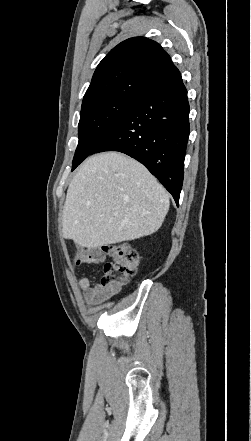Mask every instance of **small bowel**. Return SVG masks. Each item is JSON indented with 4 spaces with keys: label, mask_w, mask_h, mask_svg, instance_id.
Wrapping results in <instances>:
<instances>
[{
    "label": "small bowel",
    "mask_w": 251,
    "mask_h": 441,
    "mask_svg": "<svg viewBox=\"0 0 251 441\" xmlns=\"http://www.w3.org/2000/svg\"><path fill=\"white\" fill-rule=\"evenodd\" d=\"M105 260L104 254L97 249L78 248L73 258L71 270L76 267L82 268L87 264H99ZM78 286L83 297L89 304H99L116 295L120 288L105 286L102 284L92 285L88 277L83 276L78 280Z\"/></svg>",
    "instance_id": "small-bowel-1"
}]
</instances>
